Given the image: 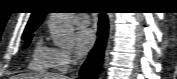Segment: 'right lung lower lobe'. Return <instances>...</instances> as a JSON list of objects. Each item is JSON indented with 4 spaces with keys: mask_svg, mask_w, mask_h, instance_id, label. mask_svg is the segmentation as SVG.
Here are the masks:
<instances>
[{
    "mask_svg": "<svg viewBox=\"0 0 177 79\" xmlns=\"http://www.w3.org/2000/svg\"><path fill=\"white\" fill-rule=\"evenodd\" d=\"M108 32V21L104 13L100 14L99 19V30H98V41L96 46L89 54V58L84 63L80 71L81 79H96L102 59H103V48Z\"/></svg>",
    "mask_w": 177,
    "mask_h": 79,
    "instance_id": "1",
    "label": "right lung lower lobe"
}]
</instances>
